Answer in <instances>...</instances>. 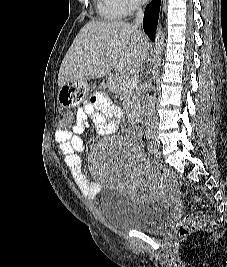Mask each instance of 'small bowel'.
Masks as SVG:
<instances>
[{"instance_id": "c3829d8e", "label": "small bowel", "mask_w": 227, "mask_h": 267, "mask_svg": "<svg viewBox=\"0 0 227 267\" xmlns=\"http://www.w3.org/2000/svg\"><path fill=\"white\" fill-rule=\"evenodd\" d=\"M122 112L104 94H96L89 102L80 106L75 113V124L69 130H60L55 133L56 142L64 156V161L70 174L84 197L93 199L99 192V184L90 179L82 169L79 152L84 149L81 136L91 127V119L102 135H109L117 131ZM154 188L142 184L137 187L138 195L148 197L153 195Z\"/></svg>"}]
</instances>
